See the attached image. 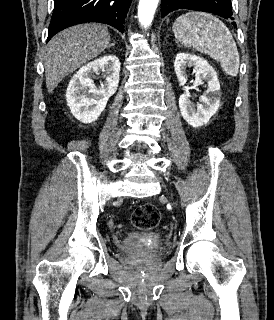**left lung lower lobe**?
I'll return each instance as SVG.
<instances>
[{
  "instance_id": "1",
  "label": "left lung lower lobe",
  "mask_w": 274,
  "mask_h": 320,
  "mask_svg": "<svg viewBox=\"0 0 274 320\" xmlns=\"http://www.w3.org/2000/svg\"><path fill=\"white\" fill-rule=\"evenodd\" d=\"M177 9L205 11L234 20L231 0H161L163 17ZM232 24L236 27L235 22Z\"/></svg>"
}]
</instances>
